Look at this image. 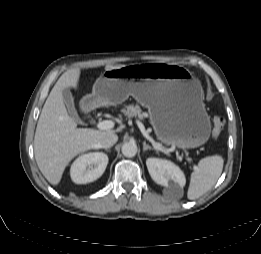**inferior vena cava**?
Masks as SVG:
<instances>
[{
    "mask_svg": "<svg viewBox=\"0 0 261 254\" xmlns=\"http://www.w3.org/2000/svg\"><path fill=\"white\" fill-rule=\"evenodd\" d=\"M118 141V136L116 134H107L103 136L99 142L98 146L100 148H110Z\"/></svg>",
    "mask_w": 261,
    "mask_h": 254,
    "instance_id": "602c4592",
    "label": "inferior vena cava"
}]
</instances>
